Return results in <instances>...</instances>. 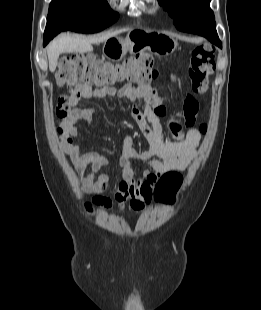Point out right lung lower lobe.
<instances>
[{
    "instance_id": "1",
    "label": "right lung lower lobe",
    "mask_w": 261,
    "mask_h": 310,
    "mask_svg": "<svg viewBox=\"0 0 261 310\" xmlns=\"http://www.w3.org/2000/svg\"><path fill=\"white\" fill-rule=\"evenodd\" d=\"M62 30L61 29H57V30H54L52 32H45L44 33V46L55 36L57 35L59 32H61Z\"/></svg>"
}]
</instances>
